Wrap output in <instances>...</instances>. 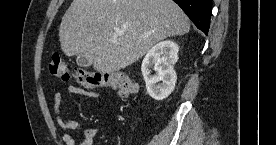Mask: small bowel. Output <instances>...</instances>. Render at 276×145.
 <instances>
[{"instance_id":"obj_1","label":"small bowel","mask_w":276,"mask_h":145,"mask_svg":"<svg viewBox=\"0 0 276 145\" xmlns=\"http://www.w3.org/2000/svg\"><path fill=\"white\" fill-rule=\"evenodd\" d=\"M68 93L76 94L89 98H100V94L96 91L86 90L83 88L69 86ZM63 96L60 92L53 95V115L56 124L64 131L62 139L66 145H76L72 133L80 132L82 130L81 124L68 118L62 110ZM100 131L98 128L90 127L84 130V139L81 145H93L94 139L98 137Z\"/></svg>"}]
</instances>
